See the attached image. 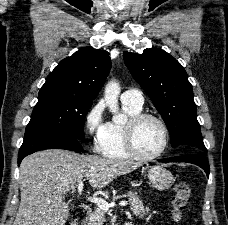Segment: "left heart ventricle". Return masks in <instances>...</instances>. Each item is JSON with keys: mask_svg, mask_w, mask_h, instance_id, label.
Segmentation results:
<instances>
[{"mask_svg": "<svg viewBox=\"0 0 228 225\" xmlns=\"http://www.w3.org/2000/svg\"><path fill=\"white\" fill-rule=\"evenodd\" d=\"M136 140L138 148L143 154H156L164 143L163 128L157 121L147 119L139 126Z\"/></svg>", "mask_w": 228, "mask_h": 225, "instance_id": "b2bd125f", "label": "left heart ventricle"}]
</instances>
